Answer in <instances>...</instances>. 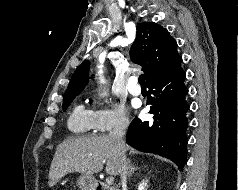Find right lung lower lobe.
Segmentation results:
<instances>
[{
  "instance_id": "98d812e1",
  "label": "right lung lower lobe",
  "mask_w": 238,
  "mask_h": 190,
  "mask_svg": "<svg viewBox=\"0 0 238 190\" xmlns=\"http://www.w3.org/2000/svg\"><path fill=\"white\" fill-rule=\"evenodd\" d=\"M182 58L167 71L147 82L150 114L153 119L141 121L135 118L127 132L126 142L132 147L154 152L175 162L179 168L187 162V112L188 89L184 85L185 72Z\"/></svg>"
}]
</instances>
